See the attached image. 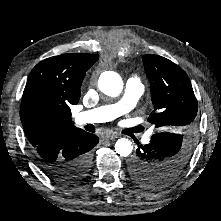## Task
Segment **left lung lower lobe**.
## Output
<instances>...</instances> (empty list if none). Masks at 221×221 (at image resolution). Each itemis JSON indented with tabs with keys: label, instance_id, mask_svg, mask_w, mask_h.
I'll list each match as a JSON object with an SVG mask.
<instances>
[{
	"label": "left lung lower lobe",
	"instance_id": "1",
	"mask_svg": "<svg viewBox=\"0 0 221 221\" xmlns=\"http://www.w3.org/2000/svg\"><path fill=\"white\" fill-rule=\"evenodd\" d=\"M172 139H173L172 133L169 132L156 133L151 137V142L149 144L138 146L136 150V155L132 158L129 164L130 175L137 183L140 181L141 175L144 172H154L155 174L157 171H159V170H154V168L158 167L156 163L158 162L159 158L158 155L160 153L159 150L163 146V142L171 141ZM171 182L172 181H170L168 184H170ZM150 188H160V187H150Z\"/></svg>",
	"mask_w": 221,
	"mask_h": 221
}]
</instances>
